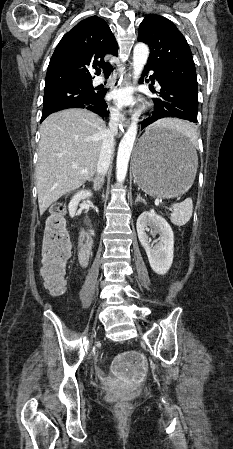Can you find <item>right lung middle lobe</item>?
Masks as SVG:
<instances>
[{
  "label": "right lung middle lobe",
  "mask_w": 233,
  "mask_h": 449,
  "mask_svg": "<svg viewBox=\"0 0 233 449\" xmlns=\"http://www.w3.org/2000/svg\"><path fill=\"white\" fill-rule=\"evenodd\" d=\"M98 96L92 83L66 85L44 91L43 112L55 110L70 103L90 102Z\"/></svg>",
  "instance_id": "1"
}]
</instances>
